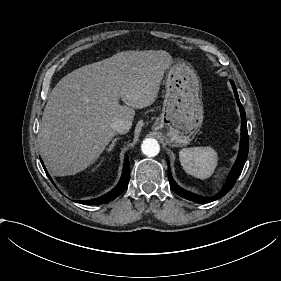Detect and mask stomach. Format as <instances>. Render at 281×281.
<instances>
[{"instance_id":"stomach-1","label":"stomach","mask_w":281,"mask_h":281,"mask_svg":"<svg viewBox=\"0 0 281 281\" xmlns=\"http://www.w3.org/2000/svg\"><path fill=\"white\" fill-rule=\"evenodd\" d=\"M162 113L154 125L171 147L187 146L199 132L204 109L202 84L189 62L176 58L166 68Z\"/></svg>"}]
</instances>
